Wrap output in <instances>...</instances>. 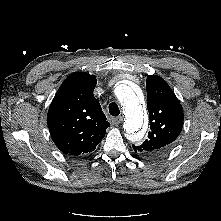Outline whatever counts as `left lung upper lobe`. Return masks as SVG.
Listing matches in <instances>:
<instances>
[{
	"instance_id": "5c2ea615",
	"label": "left lung upper lobe",
	"mask_w": 221,
	"mask_h": 221,
	"mask_svg": "<svg viewBox=\"0 0 221 221\" xmlns=\"http://www.w3.org/2000/svg\"><path fill=\"white\" fill-rule=\"evenodd\" d=\"M146 90L151 131L147 139L139 146L133 145V149L147 157H158L166 153L179 136L183 108L170 86L157 75L147 77Z\"/></svg>"
}]
</instances>
